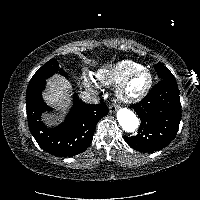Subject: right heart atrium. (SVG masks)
<instances>
[{"label":"right heart atrium","mask_w":200,"mask_h":200,"mask_svg":"<svg viewBox=\"0 0 200 200\" xmlns=\"http://www.w3.org/2000/svg\"><path fill=\"white\" fill-rule=\"evenodd\" d=\"M81 80L83 85L90 91H98L100 89V85L96 80L87 73L82 74Z\"/></svg>","instance_id":"right-heart-atrium-1"}]
</instances>
